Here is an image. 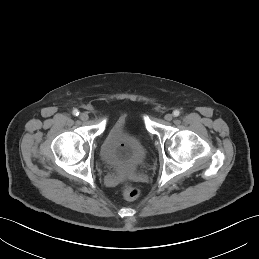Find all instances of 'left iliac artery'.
Segmentation results:
<instances>
[{
  "label": "left iliac artery",
  "mask_w": 259,
  "mask_h": 259,
  "mask_svg": "<svg viewBox=\"0 0 259 259\" xmlns=\"http://www.w3.org/2000/svg\"><path fill=\"white\" fill-rule=\"evenodd\" d=\"M173 115H174L175 117H177V116L180 115V112H179L178 110H175V111H173Z\"/></svg>",
  "instance_id": "44dca946"
}]
</instances>
